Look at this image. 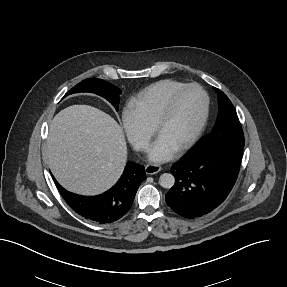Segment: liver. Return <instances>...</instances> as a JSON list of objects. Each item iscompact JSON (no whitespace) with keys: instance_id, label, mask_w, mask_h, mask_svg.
I'll use <instances>...</instances> for the list:
<instances>
[{"instance_id":"1","label":"liver","mask_w":287,"mask_h":287,"mask_svg":"<svg viewBox=\"0 0 287 287\" xmlns=\"http://www.w3.org/2000/svg\"><path fill=\"white\" fill-rule=\"evenodd\" d=\"M45 156L64 188L97 195L119 179L127 146L122 128L110 115L89 105H73L51 121Z\"/></svg>"}]
</instances>
